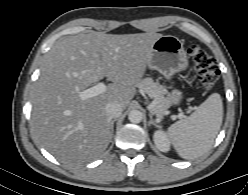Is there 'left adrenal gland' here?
<instances>
[{"mask_svg":"<svg viewBox=\"0 0 248 195\" xmlns=\"http://www.w3.org/2000/svg\"><path fill=\"white\" fill-rule=\"evenodd\" d=\"M149 117H150V121H149L148 125L149 126L154 125L155 127L160 128V126L153 120V117L151 114H149Z\"/></svg>","mask_w":248,"mask_h":195,"instance_id":"obj_1","label":"left adrenal gland"}]
</instances>
